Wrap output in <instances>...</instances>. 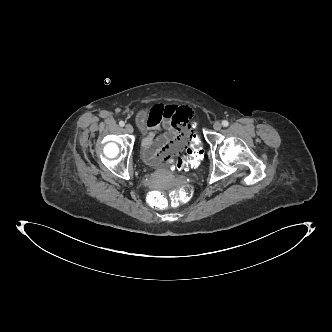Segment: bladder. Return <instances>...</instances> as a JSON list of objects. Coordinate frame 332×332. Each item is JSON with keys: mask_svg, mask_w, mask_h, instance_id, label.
Returning a JSON list of instances; mask_svg holds the SVG:
<instances>
[{"mask_svg": "<svg viewBox=\"0 0 332 332\" xmlns=\"http://www.w3.org/2000/svg\"><path fill=\"white\" fill-rule=\"evenodd\" d=\"M143 159H144V162H145L147 165L151 166V167H155V168H157V167L160 166V163L149 161V160H147V159L145 158L144 155H143Z\"/></svg>", "mask_w": 332, "mask_h": 332, "instance_id": "bladder-1", "label": "bladder"}]
</instances>
